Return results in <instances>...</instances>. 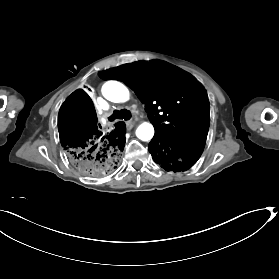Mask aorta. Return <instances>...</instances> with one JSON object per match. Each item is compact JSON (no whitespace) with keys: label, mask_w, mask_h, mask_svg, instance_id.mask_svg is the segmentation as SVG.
Here are the masks:
<instances>
[{"label":"aorta","mask_w":279,"mask_h":279,"mask_svg":"<svg viewBox=\"0 0 279 279\" xmlns=\"http://www.w3.org/2000/svg\"><path fill=\"white\" fill-rule=\"evenodd\" d=\"M103 96L114 103H123L129 99V90L122 83L110 80L102 87ZM136 136L142 141H149L154 136V127L151 123L144 122L136 129Z\"/></svg>","instance_id":"obj_1"}]
</instances>
